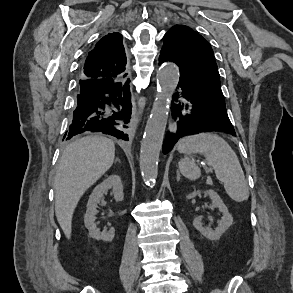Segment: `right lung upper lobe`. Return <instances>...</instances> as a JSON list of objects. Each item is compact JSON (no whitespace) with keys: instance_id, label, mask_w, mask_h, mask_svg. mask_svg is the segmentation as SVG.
I'll use <instances>...</instances> for the list:
<instances>
[{"instance_id":"1","label":"right lung upper lobe","mask_w":293,"mask_h":293,"mask_svg":"<svg viewBox=\"0 0 293 293\" xmlns=\"http://www.w3.org/2000/svg\"><path fill=\"white\" fill-rule=\"evenodd\" d=\"M126 55L122 35L113 32L104 36L88 53L82 68L81 78L85 79H125Z\"/></svg>"}]
</instances>
